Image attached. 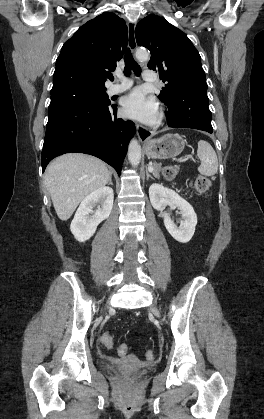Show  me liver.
<instances>
[{
	"instance_id": "obj_1",
	"label": "liver",
	"mask_w": 264,
	"mask_h": 419,
	"mask_svg": "<svg viewBox=\"0 0 264 419\" xmlns=\"http://www.w3.org/2000/svg\"><path fill=\"white\" fill-rule=\"evenodd\" d=\"M111 178L106 164L86 154L70 153L55 158L45 172L46 187L58 217L68 220L79 203Z\"/></svg>"
}]
</instances>
